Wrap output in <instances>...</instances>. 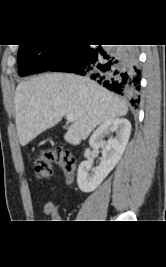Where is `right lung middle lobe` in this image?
<instances>
[{
    "label": "right lung middle lobe",
    "mask_w": 166,
    "mask_h": 267,
    "mask_svg": "<svg viewBox=\"0 0 166 267\" xmlns=\"http://www.w3.org/2000/svg\"><path fill=\"white\" fill-rule=\"evenodd\" d=\"M69 45H19V75L26 76L49 70L60 60Z\"/></svg>",
    "instance_id": "obj_1"
}]
</instances>
